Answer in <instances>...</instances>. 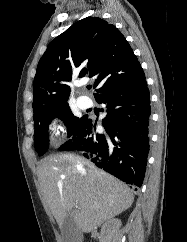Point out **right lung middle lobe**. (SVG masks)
Masks as SVG:
<instances>
[{
  "label": "right lung middle lobe",
  "mask_w": 187,
  "mask_h": 242,
  "mask_svg": "<svg viewBox=\"0 0 187 242\" xmlns=\"http://www.w3.org/2000/svg\"><path fill=\"white\" fill-rule=\"evenodd\" d=\"M57 117L65 122L67 126L68 136H72L78 127L86 118L75 117L70 110L68 104L52 109L50 111L34 115L35 131H34V145L38 155L41 156L47 151L49 145L48 127L52 119Z\"/></svg>",
  "instance_id": "right-lung-middle-lobe-1"
}]
</instances>
